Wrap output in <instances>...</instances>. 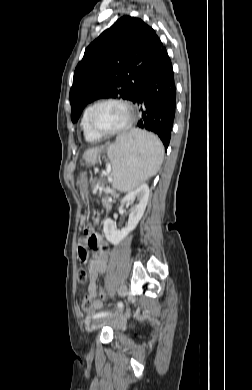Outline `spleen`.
I'll return each mask as SVG.
<instances>
[{
	"mask_svg": "<svg viewBox=\"0 0 252 390\" xmlns=\"http://www.w3.org/2000/svg\"><path fill=\"white\" fill-rule=\"evenodd\" d=\"M108 156L112 160L113 187L130 192L157 173L163 161L164 148L154 134L134 129L117 137L115 146L108 150Z\"/></svg>",
	"mask_w": 252,
	"mask_h": 390,
	"instance_id": "1",
	"label": "spleen"
}]
</instances>
